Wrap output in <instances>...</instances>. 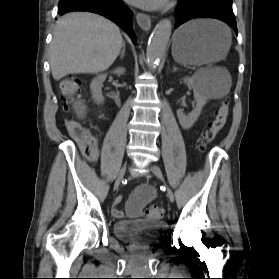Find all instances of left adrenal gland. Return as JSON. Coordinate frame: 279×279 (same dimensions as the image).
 Segmentation results:
<instances>
[{
	"label": "left adrenal gland",
	"instance_id": "1",
	"mask_svg": "<svg viewBox=\"0 0 279 279\" xmlns=\"http://www.w3.org/2000/svg\"><path fill=\"white\" fill-rule=\"evenodd\" d=\"M177 70L176 66H173V72H175Z\"/></svg>",
	"mask_w": 279,
	"mask_h": 279
}]
</instances>
